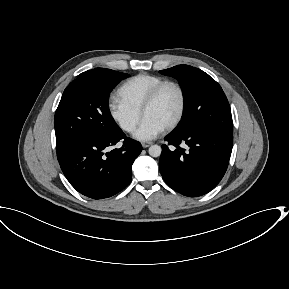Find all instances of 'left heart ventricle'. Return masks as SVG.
I'll return each instance as SVG.
<instances>
[{
    "label": "left heart ventricle",
    "instance_id": "obj_1",
    "mask_svg": "<svg viewBox=\"0 0 289 289\" xmlns=\"http://www.w3.org/2000/svg\"><path fill=\"white\" fill-rule=\"evenodd\" d=\"M180 107V95L174 86L165 87L154 104L145 112L150 118L166 127L176 117Z\"/></svg>",
    "mask_w": 289,
    "mask_h": 289
}]
</instances>
